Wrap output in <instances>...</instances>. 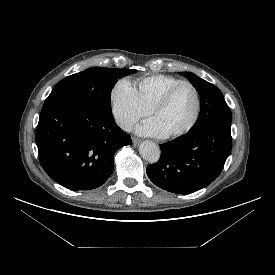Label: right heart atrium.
<instances>
[{
    "label": "right heart atrium",
    "mask_w": 275,
    "mask_h": 275,
    "mask_svg": "<svg viewBox=\"0 0 275 275\" xmlns=\"http://www.w3.org/2000/svg\"><path fill=\"white\" fill-rule=\"evenodd\" d=\"M112 113L117 124L129 130L150 111L141 102L135 86L128 80L118 81L110 95Z\"/></svg>",
    "instance_id": "right-heart-atrium-1"
}]
</instances>
